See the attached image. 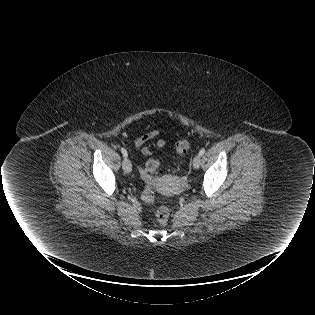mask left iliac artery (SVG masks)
<instances>
[{
  "label": "left iliac artery",
  "instance_id": "44dca946",
  "mask_svg": "<svg viewBox=\"0 0 315 315\" xmlns=\"http://www.w3.org/2000/svg\"><path fill=\"white\" fill-rule=\"evenodd\" d=\"M204 153H205V148H202V149L199 151V154L202 156Z\"/></svg>",
  "mask_w": 315,
  "mask_h": 315
}]
</instances>
